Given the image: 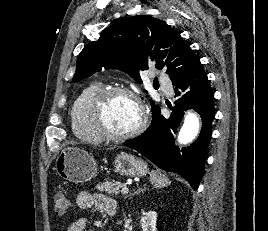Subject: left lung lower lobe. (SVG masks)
I'll return each instance as SVG.
<instances>
[{
    "label": "left lung lower lobe",
    "instance_id": "obj_1",
    "mask_svg": "<svg viewBox=\"0 0 268 231\" xmlns=\"http://www.w3.org/2000/svg\"><path fill=\"white\" fill-rule=\"evenodd\" d=\"M172 82L178 99L170 118L162 116L160 111L142 135L127 140L124 145L137 150L159 168L183 176L196 190L204 173L206 149L211 137L214 93L199 58ZM189 108L201 115L202 129L197 140L180 151L174 145L173 135L183 112Z\"/></svg>",
    "mask_w": 268,
    "mask_h": 231
}]
</instances>
